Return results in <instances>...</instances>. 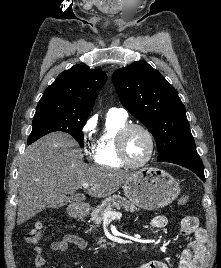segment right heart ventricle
<instances>
[{"mask_svg":"<svg viewBox=\"0 0 221 268\" xmlns=\"http://www.w3.org/2000/svg\"><path fill=\"white\" fill-rule=\"evenodd\" d=\"M124 125H126V118L107 115L105 128L94 148L93 160L95 163L108 168H121L124 166L118 158L116 147L118 131Z\"/></svg>","mask_w":221,"mask_h":268,"instance_id":"right-heart-ventricle-1","label":"right heart ventricle"}]
</instances>
